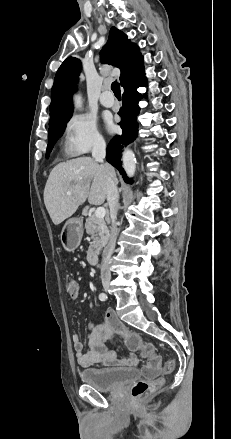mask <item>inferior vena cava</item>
<instances>
[{"instance_id": "1", "label": "inferior vena cava", "mask_w": 231, "mask_h": 439, "mask_svg": "<svg viewBox=\"0 0 231 439\" xmlns=\"http://www.w3.org/2000/svg\"><path fill=\"white\" fill-rule=\"evenodd\" d=\"M106 156V143L103 140H97L92 148V157L102 163L109 172L106 177L107 182V202L110 208V216H111V227L108 244L103 252V261L101 264V280L102 281H110L111 272H110V260L111 256L115 249L116 243V233H117V212L119 207V193L117 190L118 180L115 176V172L113 168L109 164H103V159Z\"/></svg>"}]
</instances>
